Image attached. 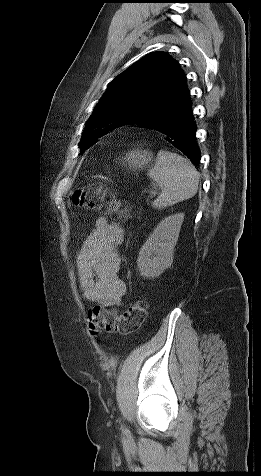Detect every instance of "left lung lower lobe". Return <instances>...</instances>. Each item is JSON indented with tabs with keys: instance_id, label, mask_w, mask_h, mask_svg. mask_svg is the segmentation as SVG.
Listing matches in <instances>:
<instances>
[{
	"instance_id": "1",
	"label": "left lung lower lobe",
	"mask_w": 261,
	"mask_h": 476,
	"mask_svg": "<svg viewBox=\"0 0 261 476\" xmlns=\"http://www.w3.org/2000/svg\"><path fill=\"white\" fill-rule=\"evenodd\" d=\"M137 124L162 133L171 146L184 153L193 164H199L200 151L189 94L161 114L152 115Z\"/></svg>"
}]
</instances>
